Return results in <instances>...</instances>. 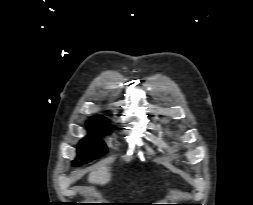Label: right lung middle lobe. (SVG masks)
I'll list each match as a JSON object with an SVG mask.
<instances>
[{"label":"right lung middle lobe","instance_id":"right-lung-middle-lobe-1","mask_svg":"<svg viewBox=\"0 0 253 205\" xmlns=\"http://www.w3.org/2000/svg\"><path fill=\"white\" fill-rule=\"evenodd\" d=\"M96 120L97 121L87 122L91 134L79 143L78 153L80 155H84V158L82 162H75V166L99 158L106 152V146L104 142L99 138L101 134L107 130V128L105 124L99 121L107 122V120Z\"/></svg>","mask_w":253,"mask_h":205}]
</instances>
